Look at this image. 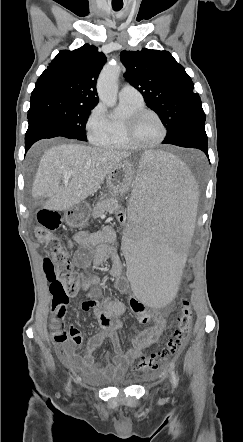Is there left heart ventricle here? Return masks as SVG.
Here are the masks:
<instances>
[{
  "label": "left heart ventricle",
  "instance_id": "b2bd125f",
  "mask_svg": "<svg viewBox=\"0 0 243 442\" xmlns=\"http://www.w3.org/2000/svg\"><path fill=\"white\" fill-rule=\"evenodd\" d=\"M162 134V128L153 115L143 116L135 128V139L143 144H151L157 141Z\"/></svg>",
  "mask_w": 243,
  "mask_h": 442
}]
</instances>
